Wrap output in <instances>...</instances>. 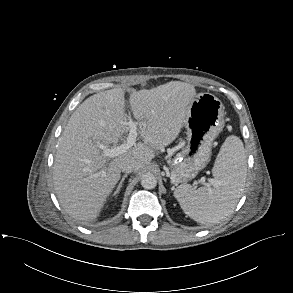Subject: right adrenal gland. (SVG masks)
Instances as JSON below:
<instances>
[{
  "label": "right adrenal gland",
  "mask_w": 293,
  "mask_h": 293,
  "mask_svg": "<svg viewBox=\"0 0 293 293\" xmlns=\"http://www.w3.org/2000/svg\"><path fill=\"white\" fill-rule=\"evenodd\" d=\"M126 177H127V174H125V175L122 177V179H121L120 183L118 184V186H117V188H116V191L114 192L113 195H116V194L119 193V191H120V189H121V187H122V185H123V182H124V180H125Z\"/></svg>",
  "instance_id": "obj_1"
}]
</instances>
